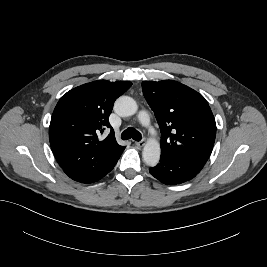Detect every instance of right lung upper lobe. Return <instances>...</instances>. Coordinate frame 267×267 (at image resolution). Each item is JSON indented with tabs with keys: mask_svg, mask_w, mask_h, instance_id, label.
Segmentation results:
<instances>
[{
	"mask_svg": "<svg viewBox=\"0 0 267 267\" xmlns=\"http://www.w3.org/2000/svg\"><path fill=\"white\" fill-rule=\"evenodd\" d=\"M128 81L98 80L78 86L57 103L49 127V140L62 169L97 171L115 158L120 146L109 123L115 100L131 87ZM111 128L99 140L97 135Z\"/></svg>",
	"mask_w": 267,
	"mask_h": 267,
	"instance_id": "cb5924a9",
	"label": "right lung upper lobe"
}]
</instances>
